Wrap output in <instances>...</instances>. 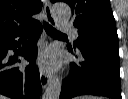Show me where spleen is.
<instances>
[{
	"mask_svg": "<svg viewBox=\"0 0 128 99\" xmlns=\"http://www.w3.org/2000/svg\"><path fill=\"white\" fill-rule=\"evenodd\" d=\"M85 99H95V98H93V97H85Z\"/></svg>",
	"mask_w": 128,
	"mask_h": 99,
	"instance_id": "1",
	"label": "spleen"
}]
</instances>
